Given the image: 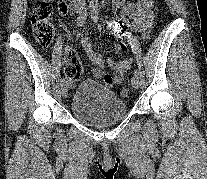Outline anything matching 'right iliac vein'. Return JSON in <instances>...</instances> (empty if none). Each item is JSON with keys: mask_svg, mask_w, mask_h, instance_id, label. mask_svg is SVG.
I'll use <instances>...</instances> for the list:
<instances>
[{"mask_svg": "<svg viewBox=\"0 0 207 179\" xmlns=\"http://www.w3.org/2000/svg\"><path fill=\"white\" fill-rule=\"evenodd\" d=\"M61 94L63 98H66L68 95V87L66 85L62 86L61 88Z\"/></svg>", "mask_w": 207, "mask_h": 179, "instance_id": "1", "label": "right iliac vein"}]
</instances>
